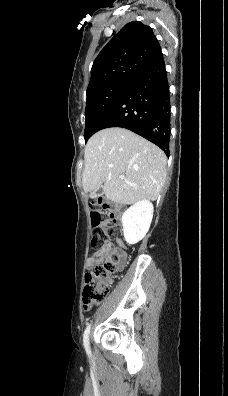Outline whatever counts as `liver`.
I'll use <instances>...</instances> for the list:
<instances>
[{"label":"liver","instance_id":"liver-1","mask_svg":"<svg viewBox=\"0 0 228 396\" xmlns=\"http://www.w3.org/2000/svg\"><path fill=\"white\" fill-rule=\"evenodd\" d=\"M84 159V191L101 186L105 197L115 203L155 201L166 180L164 152L127 129L114 127L95 133L86 144Z\"/></svg>","mask_w":228,"mask_h":396}]
</instances>
